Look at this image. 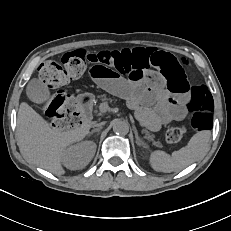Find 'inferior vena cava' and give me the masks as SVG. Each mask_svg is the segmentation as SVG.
Masks as SVG:
<instances>
[{
	"instance_id": "inferior-vena-cava-1",
	"label": "inferior vena cava",
	"mask_w": 231,
	"mask_h": 231,
	"mask_svg": "<svg viewBox=\"0 0 231 231\" xmlns=\"http://www.w3.org/2000/svg\"><path fill=\"white\" fill-rule=\"evenodd\" d=\"M102 125H104V122H100V123H94L95 127H102Z\"/></svg>"
}]
</instances>
